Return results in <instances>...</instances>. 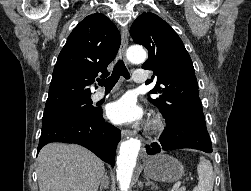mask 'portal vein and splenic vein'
Segmentation results:
<instances>
[{
  "label": "portal vein and splenic vein",
  "mask_w": 251,
  "mask_h": 191,
  "mask_svg": "<svg viewBox=\"0 0 251 191\" xmlns=\"http://www.w3.org/2000/svg\"><path fill=\"white\" fill-rule=\"evenodd\" d=\"M180 183H181V181L176 182L173 187V190H176V188L180 186Z\"/></svg>",
  "instance_id": "obj_1"
}]
</instances>
